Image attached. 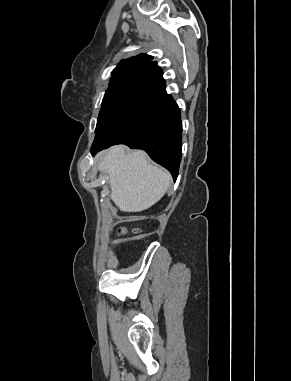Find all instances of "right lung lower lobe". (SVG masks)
Listing matches in <instances>:
<instances>
[{
	"instance_id": "right-lung-lower-lobe-1",
	"label": "right lung lower lobe",
	"mask_w": 291,
	"mask_h": 381,
	"mask_svg": "<svg viewBox=\"0 0 291 381\" xmlns=\"http://www.w3.org/2000/svg\"><path fill=\"white\" fill-rule=\"evenodd\" d=\"M162 70L142 77L113 142L93 143L91 152L115 144L142 149L176 180L182 156L180 109L166 93Z\"/></svg>"
}]
</instances>
